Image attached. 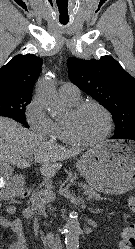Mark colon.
<instances>
[{"label": "colon", "mask_w": 135, "mask_h": 249, "mask_svg": "<svg viewBox=\"0 0 135 249\" xmlns=\"http://www.w3.org/2000/svg\"><path fill=\"white\" fill-rule=\"evenodd\" d=\"M128 206L135 213V195L129 198ZM120 249H135V223L124 229Z\"/></svg>", "instance_id": "5ec220e1"}]
</instances>
